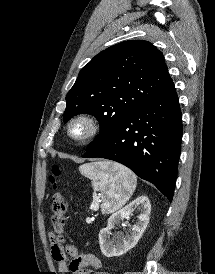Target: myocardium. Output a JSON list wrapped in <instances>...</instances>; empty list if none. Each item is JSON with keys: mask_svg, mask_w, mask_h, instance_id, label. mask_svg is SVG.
Instances as JSON below:
<instances>
[{"mask_svg": "<svg viewBox=\"0 0 215 274\" xmlns=\"http://www.w3.org/2000/svg\"><path fill=\"white\" fill-rule=\"evenodd\" d=\"M77 126L83 127V132L80 135L74 134V128ZM100 132L99 122L89 114H78L72 117L66 126L67 136L74 142L84 143L95 138Z\"/></svg>", "mask_w": 215, "mask_h": 274, "instance_id": "1", "label": "myocardium"}]
</instances>
